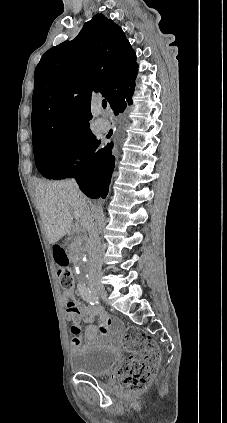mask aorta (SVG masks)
Wrapping results in <instances>:
<instances>
[{"label":"aorta","mask_w":227,"mask_h":423,"mask_svg":"<svg viewBox=\"0 0 227 423\" xmlns=\"http://www.w3.org/2000/svg\"><path fill=\"white\" fill-rule=\"evenodd\" d=\"M89 267H90L89 256L86 253L85 254H81L76 259V265L74 267L75 274L77 276L83 275V274H85L88 271Z\"/></svg>","instance_id":"1"}]
</instances>
